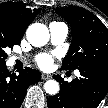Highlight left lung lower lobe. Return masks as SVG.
I'll return each instance as SVG.
<instances>
[{"mask_svg":"<svg viewBox=\"0 0 108 108\" xmlns=\"http://www.w3.org/2000/svg\"><path fill=\"white\" fill-rule=\"evenodd\" d=\"M81 77L71 83L60 76L61 89L47 99L48 108H97L108 91V64L98 68L80 69Z\"/></svg>","mask_w":108,"mask_h":108,"instance_id":"1","label":"left lung lower lobe"}]
</instances>
